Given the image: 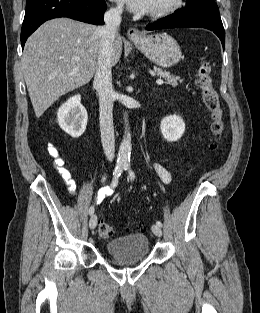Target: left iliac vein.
I'll list each match as a JSON object with an SVG mask.
<instances>
[{"instance_id":"obj_1","label":"left iliac vein","mask_w":260,"mask_h":313,"mask_svg":"<svg viewBox=\"0 0 260 313\" xmlns=\"http://www.w3.org/2000/svg\"><path fill=\"white\" fill-rule=\"evenodd\" d=\"M153 233L157 236V237H161L162 235V230L161 227L158 226L157 224L152 225L151 227Z\"/></svg>"}]
</instances>
